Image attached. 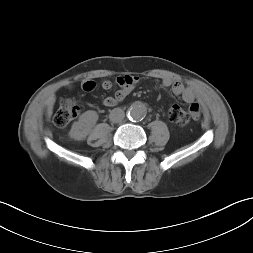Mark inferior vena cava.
<instances>
[{
  "label": "inferior vena cava",
  "instance_id": "inferior-vena-cava-1",
  "mask_svg": "<svg viewBox=\"0 0 253 253\" xmlns=\"http://www.w3.org/2000/svg\"><path fill=\"white\" fill-rule=\"evenodd\" d=\"M124 117L125 113L121 108H114L109 115L110 120L114 123L121 122Z\"/></svg>",
  "mask_w": 253,
  "mask_h": 253
}]
</instances>
